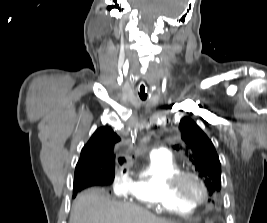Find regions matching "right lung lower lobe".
<instances>
[{
  "instance_id": "obj_1",
  "label": "right lung lower lobe",
  "mask_w": 267,
  "mask_h": 223,
  "mask_svg": "<svg viewBox=\"0 0 267 223\" xmlns=\"http://www.w3.org/2000/svg\"><path fill=\"white\" fill-rule=\"evenodd\" d=\"M113 180L107 179L102 175H82L79 177H75L74 180V196L78 191H81L84 188L90 187V186H105L109 183H111Z\"/></svg>"
}]
</instances>
